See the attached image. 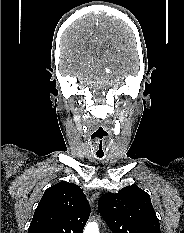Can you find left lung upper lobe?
<instances>
[{
  "label": "left lung upper lobe",
  "instance_id": "5c2ea615",
  "mask_svg": "<svg viewBox=\"0 0 184 233\" xmlns=\"http://www.w3.org/2000/svg\"><path fill=\"white\" fill-rule=\"evenodd\" d=\"M98 209L113 233H161L149 194L136 185L102 195Z\"/></svg>",
  "mask_w": 184,
  "mask_h": 233
}]
</instances>
